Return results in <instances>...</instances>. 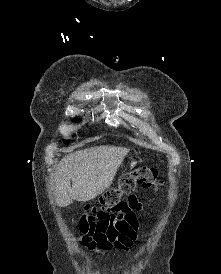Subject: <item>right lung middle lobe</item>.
<instances>
[{
    "mask_svg": "<svg viewBox=\"0 0 221 274\" xmlns=\"http://www.w3.org/2000/svg\"><path fill=\"white\" fill-rule=\"evenodd\" d=\"M74 121H77V120H74ZM69 141H65L66 144H68Z\"/></svg>",
    "mask_w": 221,
    "mask_h": 274,
    "instance_id": "dd1d6c3e",
    "label": "right lung middle lobe"
}]
</instances>
